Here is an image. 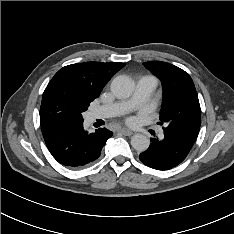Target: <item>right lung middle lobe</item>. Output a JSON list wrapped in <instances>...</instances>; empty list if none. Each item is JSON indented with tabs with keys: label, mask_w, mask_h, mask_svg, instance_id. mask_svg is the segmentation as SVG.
Listing matches in <instances>:
<instances>
[{
	"label": "right lung middle lobe",
	"mask_w": 234,
	"mask_h": 234,
	"mask_svg": "<svg viewBox=\"0 0 234 234\" xmlns=\"http://www.w3.org/2000/svg\"><path fill=\"white\" fill-rule=\"evenodd\" d=\"M91 101L66 93L59 87L46 88L40 107V124L59 120H83L82 113Z\"/></svg>",
	"instance_id": "obj_1"
}]
</instances>
